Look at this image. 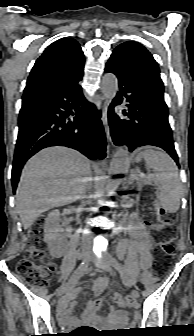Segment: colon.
<instances>
[{
  "instance_id": "obj_1",
  "label": "colon",
  "mask_w": 194,
  "mask_h": 336,
  "mask_svg": "<svg viewBox=\"0 0 194 336\" xmlns=\"http://www.w3.org/2000/svg\"><path fill=\"white\" fill-rule=\"evenodd\" d=\"M144 212L151 217L153 221V230L161 232L162 237L159 239L157 247L154 249V255L159 257H171L174 254L173 238L174 235L170 228L174 224V218L165 210L154 204H144ZM45 221L39 218L35 221L33 228L29 233V245L25 256L17 263L18 274L29 284L36 287H46L54 270V266L39 265L33 262L34 259H42L45 254V241L43 239ZM152 282L151 278L145 280L146 284ZM127 302H131V297H126ZM87 329L78 331V336Z\"/></svg>"
}]
</instances>
